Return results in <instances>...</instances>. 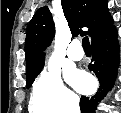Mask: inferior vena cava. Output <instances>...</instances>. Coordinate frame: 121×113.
Instances as JSON below:
<instances>
[{"mask_svg":"<svg viewBox=\"0 0 121 113\" xmlns=\"http://www.w3.org/2000/svg\"><path fill=\"white\" fill-rule=\"evenodd\" d=\"M70 113H80L78 101H75L70 105Z\"/></svg>","mask_w":121,"mask_h":113,"instance_id":"602c4592","label":"inferior vena cava"}]
</instances>
